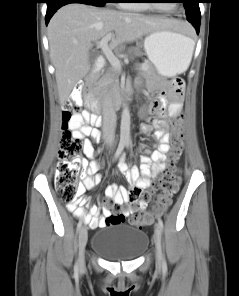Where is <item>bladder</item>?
<instances>
[{
    "mask_svg": "<svg viewBox=\"0 0 239 296\" xmlns=\"http://www.w3.org/2000/svg\"><path fill=\"white\" fill-rule=\"evenodd\" d=\"M149 244L146 232L126 224H115L95 233L92 250L108 261H132L141 256Z\"/></svg>",
    "mask_w": 239,
    "mask_h": 296,
    "instance_id": "1",
    "label": "bladder"
}]
</instances>
